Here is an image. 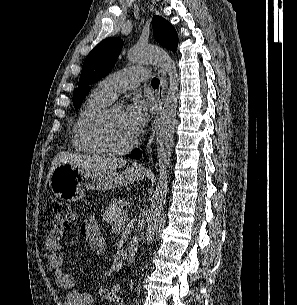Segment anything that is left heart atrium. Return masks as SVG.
<instances>
[{
    "label": "left heart atrium",
    "mask_w": 297,
    "mask_h": 305,
    "mask_svg": "<svg viewBox=\"0 0 297 305\" xmlns=\"http://www.w3.org/2000/svg\"><path fill=\"white\" fill-rule=\"evenodd\" d=\"M151 104L140 97H134L123 111L124 122L134 136H138L148 122Z\"/></svg>",
    "instance_id": "39dd6f15"
}]
</instances>
